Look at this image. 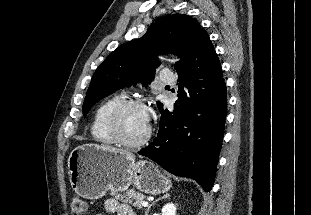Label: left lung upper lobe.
I'll use <instances>...</instances> for the list:
<instances>
[{"mask_svg":"<svg viewBox=\"0 0 311 215\" xmlns=\"http://www.w3.org/2000/svg\"><path fill=\"white\" fill-rule=\"evenodd\" d=\"M207 32L196 19L184 14L158 19L139 39L122 44L95 71L83 104V115L102 98L117 89L141 81L147 85L154 77L157 55L171 52L179 55L175 69L187 58ZM158 107L162 103L157 102Z\"/></svg>","mask_w":311,"mask_h":215,"instance_id":"left-lung-upper-lobe-1","label":"left lung upper lobe"}]
</instances>
